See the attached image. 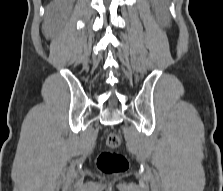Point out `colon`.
Listing matches in <instances>:
<instances>
[{"label":"colon","instance_id":"obj_1","mask_svg":"<svg viewBox=\"0 0 223 191\" xmlns=\"http://www.w3.org/2000/svg\"><path fill=\"white\" fill-rule=\"evenodd\" d=\"M121 138L116 133L108 135L106 148L101 150L97 157V167L100 172L108 175L121 174L128 170L127 158L115 150L120 146Z\"/></svg>","mask_w":223,"mask_h":191}]
</instances>
